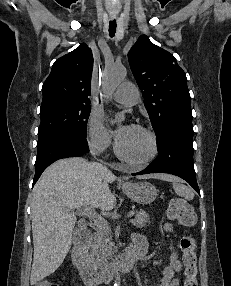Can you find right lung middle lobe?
Masks as SVG:
<instances>
[{"label": "right lung middle lobe", "instance_id": "dd1d6c3e", "mask_svg": "<svg viewBox=\"0 0 231 286\" xmlns=\"http://www.w3.org/2000/svg\"><path fill=\"white\" fill-rule=\"evenodd\" d=\"M90 104L56 102L41 106L38 144L58 135H75L86 139Z\"/></svg>", "mask_w": 231, "mask_h": 286}]
</instances>
